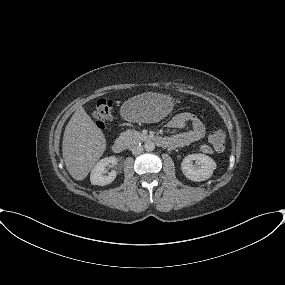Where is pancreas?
Segmentation results:
<instances>
[{
    "instance_id": "cf45deb5",
    "label": "pancreas",
    "mask_w": 285,
    "mask_h": 285,
    "mask_svg": "<svg viewBox=\"0 0 285 285\" xmlns=\"http://www.w3.org/2000/svg\"><path fill=\"white\" fill-rule=\"evenodd\" d=\"M121 138H124L128 141L138 142L143 139V134L136 130H127L120 134Z\"/></svg>"
}]
</instances>
